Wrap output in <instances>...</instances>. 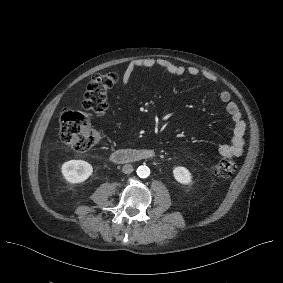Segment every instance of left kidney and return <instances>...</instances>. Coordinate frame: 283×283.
I'll list each match as a JSON object with an SVG mask.
<instances>
[{"mask_svg": "<svg viewBox=\"0 0 283 283\" xmlns=\"http://www.w3.org/2000/svg\"><path fill=\"white\" fill-rule=\"evenodd\" d=\"M173 175L176 181L181 184L188 185L192 183V175L190 171L183 166L174 168Z\"/></svg>", "mask_w": 283, "mask_h": 283, "instance_id": "5707ae66", "label": "left kidney"}]
</instances>
